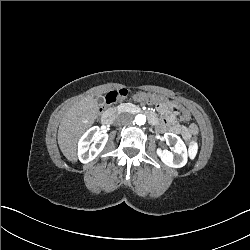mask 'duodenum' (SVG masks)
I'll return each instance as SVG.
<instances>
[{
  "mask_svg": "<svg viewBox=\"0 0 250 250\" xmlns=\"http://www.w3.org/2000/svg\"><path fill=\"white\" fill-rule=\"evenodd\" d=\"M112 121H113V113L111 111L106 112L102 117L103 124L110 125L112 124Z\"/></svg>",
  "mask_w": 250,
  "mask_h": 250,
  "instance_id": "410a0bca",
  "label": "duodenum"
}]
</instances>
